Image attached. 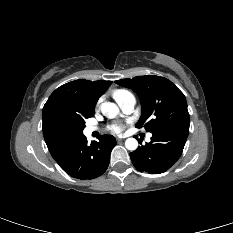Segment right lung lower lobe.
Listing matches in <instances>:
<instances>
[{"label":"right lung lower lobe","mask_w":233,"mask_h":233,"mask_svg":"<svg viewBox=\"0 0 233 233\" xmlns=\"http://www.w3.org/2000/svg\"><path fill=\"white\" fill-rule=\"evenodd\" d=\"M116 145L112 135H102L99 142L87 143L83 135L52 155L59 166L70 176L81 180L102 175L110 161V153Z\"/></svg>","instance_id":"obj_1"}]
</instances>
